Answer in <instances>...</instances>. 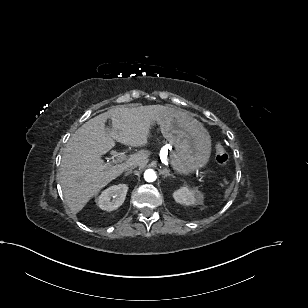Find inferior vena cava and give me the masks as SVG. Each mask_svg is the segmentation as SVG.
<instances>
[{
    "label": "inferior vena cava",
    "instance_id": "inferior-vena-cava-1",
    "mask_svg": "<svg viewBox=\"0 0 308 308\" xmlns=\"http://www.w3.org/2000/svg\"><path fill=\"white\" fill-rule=\"evenodd\" d=\"M135 166V164H130V166H128V169H132Z\"/></svg>",
    "mask_w": 308,
    "mask_h": 308
}]
</instances>
